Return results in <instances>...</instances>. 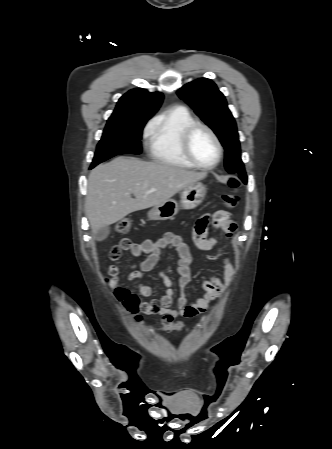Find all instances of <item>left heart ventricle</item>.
<instances>
[{
    "mask_svg": "<svg viewBox=\"0 0 332 449\" xmlns=\"http://www.w3.org/2000/svg\"><path fill=\"white\" fill-rule=\"evenodd\" d=\"M191 151L195 159L203 164H212L217 157V148L211 136L203 129L194 132L191 138Z\"/></svg>",
    "mask_w": 332,
    "mask_h": 449,
    "instance_id": "b2bd125f",
    "label": "left heart ventricle"
}]
</instances>
